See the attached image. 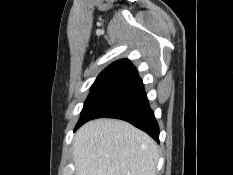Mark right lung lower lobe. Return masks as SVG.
<instances>
[{"label":"right lung lower lobe","instance_id":"98d812e1","mask_svg":"<svg viewBox=\"0 0 233 175\" xmlns=\"http://www.w3.org/2000/svg\"><path fill=\"white\" fill-rule=\"evenodd\" d=\"M101 117L118 118L128 121L159 142V126L149 106L143 82L140 78L135 80L132 85L94 116L79 124L76 129L89 120Z\"/></svg>","mask_w":233,"mask_h":175}]
</instances>
